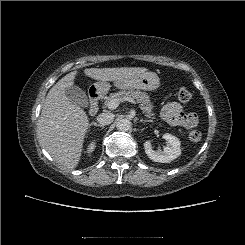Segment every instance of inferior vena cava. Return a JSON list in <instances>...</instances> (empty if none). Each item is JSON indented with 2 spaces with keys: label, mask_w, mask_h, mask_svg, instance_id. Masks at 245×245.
<instances>
[{
  "label": "inferior vena cava",
  "mask_w": 245,
  "mask_h": 245,
  "mask_svg": "<svg viewBox=\"0 0 245 245\" xmlns=\"http://www.w3.org/2000/svg\"><path fill=\"white\" fill-rule=\"evenodd\" d=\"M114 117V114L111 112H103L97 116V121L101 125H109L113 122Z\"/></svg>",
  "instance_id": "1"
}]
</instances>
